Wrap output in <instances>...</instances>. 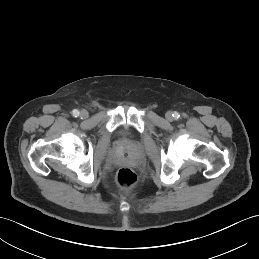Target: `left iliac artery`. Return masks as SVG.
Listing matches in <instances>:
<instances>
[{
	"label": "left iliac artery",
	"instance_id": "44dca946",
	"mask_svg": "<svg viewBox=\"0 0 259 259\" xmlns=\"http://www.w3.org/2000/svg\"><path fill=\"white\" fill-rule=\"evenodd\" d=\"M173 117L178 118V117H179V114H178L177 112H175V113L173 114Z\"/></svg>",
	"mask_w": 259,
	"mask_h": 259
}]
</instances>
